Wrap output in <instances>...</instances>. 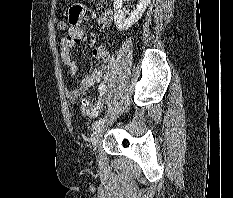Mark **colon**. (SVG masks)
<instances>
[{
    "mask_svg": "<svg viewBox=\"0 0 233 198\" xmlns=\"http://www.w3.org/2000/svg\"><path fill=\"white\" fill-rule=\"evenodd\" d=\"M56 27L58 31H64L67 28V23L64 19L58 18L56 20ZM100 107V99L94 98L91 101L83 100L80 110L83 115H91L96 113L100 109Z\"/></svg>",
    "mask_w": 233,
    "mask_h": 198,
    "instance_id": "1",
    "label": "colon"
}]
</instances>
